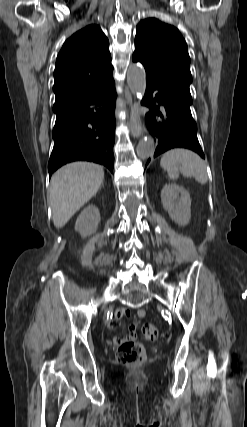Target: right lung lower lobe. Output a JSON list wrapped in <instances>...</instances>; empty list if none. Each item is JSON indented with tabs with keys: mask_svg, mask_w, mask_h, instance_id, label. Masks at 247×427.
<instances>
[{
	"mask_svg": "<svg viewBox=\"0 0 247 427\" xmlns=\"http://www.w3.org/2000/svg\"><path fill=\"white\" fill-rule=\"evenodd\" d=\"M115 99L114 80H111L93 91L55 102L54 147L48 163L50 177L62 165L78 160L103 164L113 172Z\"/></svg>",
	"mask_w": 247,
	"mask_h": 427,
	"instance_id": "right-lung-lower-lobe-1",
	"label": "right lung lower lobe"
}]
</instances>
